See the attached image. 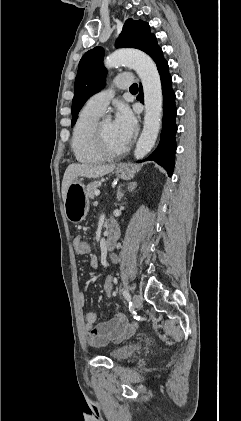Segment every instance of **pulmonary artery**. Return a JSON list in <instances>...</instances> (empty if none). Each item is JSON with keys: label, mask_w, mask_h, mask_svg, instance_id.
I'll return each mask as SVG.
<instances>
[{"label": "pulmonary artery", "mask_w": 241, "mask_h": 421, "mask_svg": "<svg viewBox=\"0 0 241 421\" xmlns=\"http://www.w3.org/2000/svg\"><path fill=\"white\" fill-rule=\"evenodd\" d=\"M131 84L132 78L129 75H120L115 78L113 87L93 95L86 105L94 111L103 114L114 96L115 88L127 89Z\"/></svg>", "instance_id": "pulmonary-artery-1"}]
</instances>
